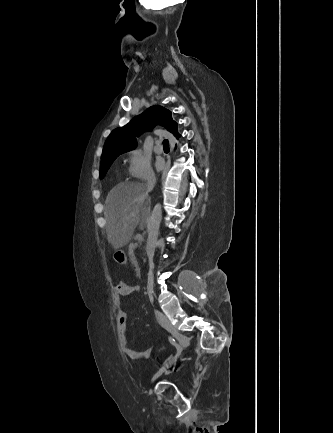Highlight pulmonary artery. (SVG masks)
<instances>
[{"instance_id":"1","label":"pulmonary artery","mask_w":333,"mask_h":433,"mask_svg":"<svg viewBox=\"0 0 333 433\" xmlns=\"http://www.w3.org/2000/svg\"><path fill=\"white\" fill-rule=\"evenodd\" d=\"M155 152H156L157 154H161V153H163V147H162V145H161L160 143H157V144H156V146H155Z\"/></svg>"}]
</instances>
